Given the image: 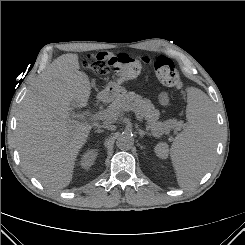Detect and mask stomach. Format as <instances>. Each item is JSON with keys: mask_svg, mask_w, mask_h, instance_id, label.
<instances>
[{"mask_svg": "<svg viewBox=\"0 0 245 245\" xmlns=\"http://www.w3.org/2000/svg\"><path fill=\"white\" fill-rule=\"evenodd\" d=\"M125 88L118 81H110L102 94L107 100H115L120 93H123Z\"/></svg>", "mask_w": 245, "mask_h": 245, "instance_id": "obj_1", "label": "stomach"}]
</instances>
